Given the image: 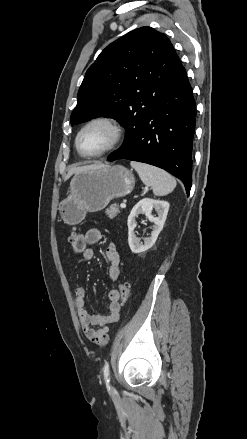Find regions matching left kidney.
<instances>
[{
    "mask_svg": "<svg viewBox=\"0 0 247 439\" xmlns=\"http://www.w3.org/2000/svg\"><path fill=\"white\" fill-rule=\"evenodd\" d=\"M153 208L157 212L158 216L152 215ZM169 210V203L162 200H154L150 198H144L140 200L131 210L128 216V243L133 253L139 254L150 249L156 242L157 237L163 229L167 214ZM139 214H145L149 221L153 222V231L151 236L144 239V243H140V239L135 236L134 229L137 226L136 217Z\"/></svg>",
    "mask_w": 247,
    "mask_h": 439,
    "instance_id": "obj_1",
    "label": "left kidney"
}]
</instances>
